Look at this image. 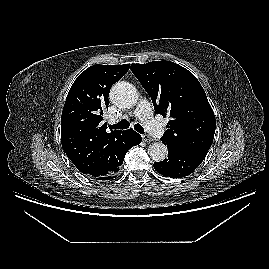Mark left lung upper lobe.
<instances>
[{
	"mask_svg": "<svg viewBox=\"0 0 269 269\" xmlns=\"http://www.w3.org/2000/svg\"><path fill=\"white\" fill-rule=\"evenodd\" d=\"M130 69L150 95L156 113L171 118L162 142L180 150L208 151L216 119L196 77L171 61L132 64Z\"/></svg>",
	"mask_w": 269,
	"mask_h": 269,
	"instance_id": "5c2ea615",
	"label": "left lung upper lobe"
}]
</instances>
